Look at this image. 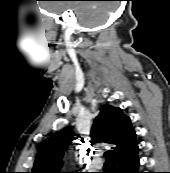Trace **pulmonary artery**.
<instances>
[{
	"label": "pulmonary artery",
	"instance_id": "pulmonary-artery-1",
	"mask_svg": "<svg viewBox=\"0 0 170 173\" xmlns=\"http://www.w3.org/2000/svg\"><path fill=\"white\" fill-rule=\"evenodd\" d=\"M92 164L95 168L100 169L103 167L104 162L99 158H94Z\"/></svg>",
	"mask_w": 170,
	"mask_h": 173
}]
</instances>
